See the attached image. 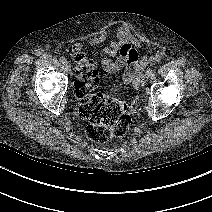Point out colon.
I'll return each mask as SVG.
<instances>
[{
	"label": "colon",
	"instance_id": "colon-1",
	"mask_svg": "<svg viewBox=\"0 0 212 212\" xmlns=\"http://www.w3.org/2000/svg\"><path fill=\"white\" fill-rule=\"evenodd\" d=\"M76 81L75 92L80 99L79 114L88 120V138L96 142H106L123 136L131 124L130 106L121 100L106 98L95 92L98 82L93 61L83 53L74 56Z\"/></svg>",
	"mask_w": 212,
	"mask_h": 212
}]
</instances>
